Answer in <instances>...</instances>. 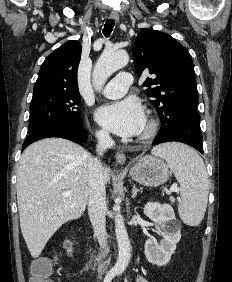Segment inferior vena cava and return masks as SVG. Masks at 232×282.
<instances>
[{
    "mask_svg": "<svg viewBox=\"0 0 232 282\" xmlns=\"http://www.w3.org/2000/svg\"><path fill=\"white\" fill-rule=\"evenodd\" d=\"M96 137L98 140L96 151L102 156L113 145L114 141L109 136V133L105 131L98 132ZM88 188V213L90 221L94 229V235L100 247L104 249L107 246L105 180L101 160L95 157L88 159Z\"/></svg>",
    "mask_w": 232,
    "mask_h": 282,
    "instance_id": "1",
    "label": "inferior vena cava"
}]
</instances>
